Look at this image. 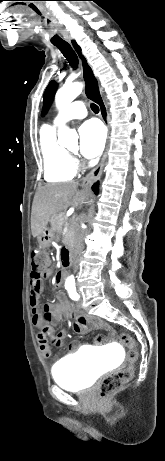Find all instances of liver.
Returning a JSON list of instances; mask_svg holds the SVG:
<instances>
[{
    "label": "liver",
    "instance_id": "6515ba94",
    "mask_svg": "<svg viewBox=\"0 0 165 461\" xmlns=\"http://www.w3.org/2000/svg\"><path fill=\"white\" fill-rule=\"evenodd\" d=\"M78 182L47 184L38 189L34 196L31 212V231L39 237L47 228L51 216L68 207L81 208L89 198L88 188L78 190Z\"/></svg>",
    "mask_w": 165,
    "mask_h": 461
}]
</instances>
